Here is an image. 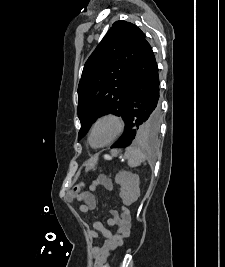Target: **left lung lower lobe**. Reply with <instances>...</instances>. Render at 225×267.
I'll list each match as a JSON object with an SVG mask.
<instances>
[{
    "instance_id": "obj_1",
    "label": "left lung lower lobe",
    "mask_w": 225,
    "mask_h": 267,
    "mask_svg": "<svg viewBox=\"0 0 225 267\" xmlns=\"http://www.w3.org/2000/svg\"><path fill=\"white\" fill-rule=\"evenodd\" d=\"M158 67L150 44L146 41L136 65L129 90L126 111L125 131L122 137L111 146H129L136 137L140 121H150L151 126L160 125Z\"/></svg>"
}]
</instances>
